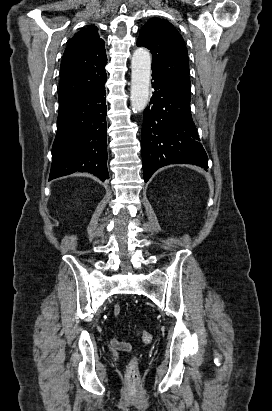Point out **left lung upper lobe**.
Here are the masks:
<instances>
[{
  "instance_id": "5c2ea615",
  "label": "left lung upper lobe",
  "mask_w": 272,
  "mask_h": 411,
  "mask_svg": "<svg viewBox=\"0 0 272 411\" xmlns=\"http://www.w3.org/2000/svg\"><path fill=\"white\" fill-rule=\"evenodd\" d=\"M137 46L151 50L152 76L191 95L188 52L184 40L168 21L152 18L139 33Z\"/></svg>"
}]
</instances>
